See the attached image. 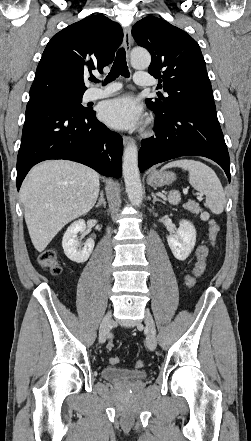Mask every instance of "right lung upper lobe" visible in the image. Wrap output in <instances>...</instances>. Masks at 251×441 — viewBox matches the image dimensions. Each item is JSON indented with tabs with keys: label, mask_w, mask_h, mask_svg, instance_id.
Masks as SVG:
<instances>
[{
	"label": "right lung upper lobe",
	"mask_w": 251,
	"mask_h": 441,
	"mask_svg": "<svg viewBox=\"0 0 251 441\" xmlns=\"http://www.w3.org/2000/svg\"><path fill=\"white\" fill-rule=\"evenodd\" d=\"M123 40L121 26L104 15H92L76 22L48 42L30 89V101L59 94L78 95L87 89L86 73L113 61Z\"/></svg>",
	"instance_id": "cb5924a9"
}]
</instances>
